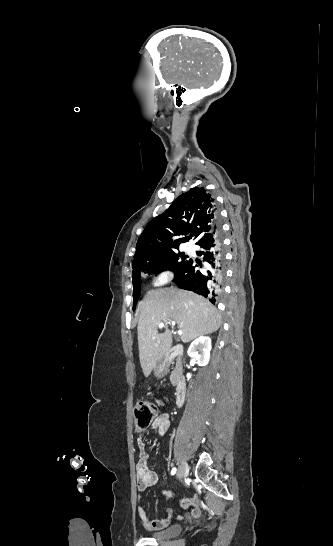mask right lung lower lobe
Masks as SVG:
<instances>
[{
    "label": "right lung lower lobe",
    "instance_id": "obj_1",
    "mask_svg": "<svg viewBox=\"0 0 333 546\" xmlns=\"http://www.w3.org/2000/svg\"><path fill=\"white\" fill-rule=\"evenodd\" d=\"M197 245L205 251L200 252L203 255L201 261H188L175 273L174 282L178 287L198 293L209 299L212 303L216 301L219 291L222 289L224 278V250L222 237L218 226L203 236ZM202 267L197 270L196 267Z\"/></svg>",
    "mask_w": 333,
    "mask_h": 546
}]
</instances>
